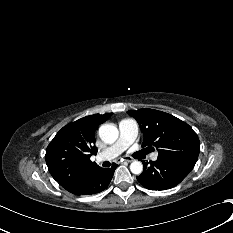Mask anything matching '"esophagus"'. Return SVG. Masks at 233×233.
Masks as SVG:
<instances>
[{
    "mask_svg": "<svg viewBox=\"0 0 233 233\" xmlns=\"http://www.w3.org/2000/svg\"><path fill=\"white\" fill-rule=\"evenodd\" d=\"M122 161H125V162H132V161H133V158H132V157H129V156H126L124 159H122Z\"/></svg>",
    "mask_w": 233,
    "mask_h": 233,
    "instance_id": "obj_1",
    "label": "esophagus"
}]
</instances>
